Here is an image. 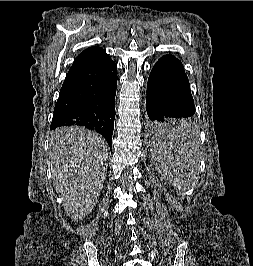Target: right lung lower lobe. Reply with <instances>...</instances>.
<instances>
[{"label": "right lung lower lobe", "mask_w": 253, "mask_h": 266, "mask_svg": "<svg viewBox=\"0 0 253 266\" xmlns=\"http://www.w3.org/2000/svg\"><path fill=\"white\" fill-rule=\"evenodd\" d=\"M116 87L117 65L102 48L75 60L60 90L50 129L84 126L100 133L111 147Z\"/></svg>", "instance_id": "right-lung-lower-lobe-1"}]
</instances>
